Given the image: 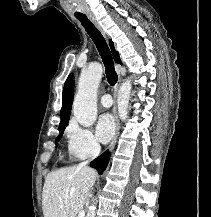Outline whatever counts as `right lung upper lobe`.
Wrapping results in <instances>:
<instances>
[{"label":"right lung upper lobe","instance_id":"right-lung-upper-lobe-1","mask_svg":"<svg viewBox=\"0 0 211 217\" xmlns=\"http://www.w3.org/2000/svg\"><path fill=\"white\" fill-rule=\"evenodd\" d=\"M110 47L111 51L114 57V60L117 63L121 64L119 54L115 51L113 42L110 41ZM73 90H74V76L73 74H70L65 82L64 88H63V95H62V108L60 113L61 122L59 125V129L67 126L69 121V116L71 113V105L73 101Z\"/></svg>","mask_w":211,"mask_h":217}]
</instances>
